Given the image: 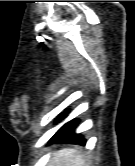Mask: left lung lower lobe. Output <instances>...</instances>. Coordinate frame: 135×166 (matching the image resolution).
Returning <instances> with one entry per match:
<instances>
[{
	"mask_svg": "<svg viewBox=\"0 0 135 166\" xmlns=\"http://www.w3.org/2000/svg\"><path fill=\"white\" fill-rule=\"evenodd\" d=\"M68 114V110L60 114L57 119V122L63 120ZM79 124L78 119H73L62 126L55 135L50 139V143L52 142H62V143H70V144H79L85 145L86 139L83 137L82 134H77L75 129Z\"/></svg>",
	"mask_w": 135,
	"mask_h": 166,
	"instance_id": "left-lung-lower-lobe-1",
	"label": "left lung lower lobe"
}]
</instances>
